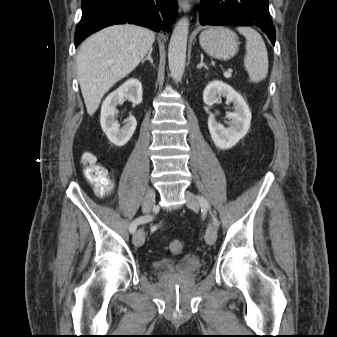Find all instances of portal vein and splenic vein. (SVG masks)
Listing matches in <instances>:
<instances>
[{"label": "portal vein and splenic vein", "mask_w": 337, "mask_h": 337, "mask_svg": "<svg viewBox=\"0 0 337 337\" xmlns=\"http://www.w3.org/2000/svg\"><path fill=\"white\" fill-rule=\"evenodd\" d=\"M224 76H225L226 78H230V77H231V72H229V71H228V72H225V73H224Z\"/></svg>", "instance_id": "portal-vein-and-splenic-vein-1"}]
</instances>
